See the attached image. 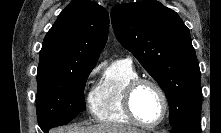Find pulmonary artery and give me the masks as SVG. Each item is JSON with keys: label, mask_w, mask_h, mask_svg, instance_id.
I'll return each instance as SVG.
<instances>
[{"label": "pulmonary artery", "mask_w": 221, "mask_h": 133, "mask_svg": "<svg viewBox=\"0 0 221 133\" xmlns=\"http://www.w3.org/2000/svg\"><path fill=\"white\" fill-rule=\"evenodd\" d=\"M126 60H128V61H130V62H131V59H130V58H128V59H126Z\"/></svg>", "instance_id": "obj_1"}]
</instances>
